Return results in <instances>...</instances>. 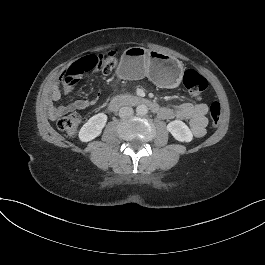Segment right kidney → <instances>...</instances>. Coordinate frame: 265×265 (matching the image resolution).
Segmentation results:
<instances>
[{
  "label": "right kidney",
  "mask_w": 265,
  "mask_h": 265,
  "mask_svg": "<svg viewBox=\"0 0 265 265\" xmlns=\"http://www.w3.org/2000/svg\"><path fill=\"white\" fill-rule=\"evenodd\" d=\"M107 120L108 116L104 113L92 116L78 132L80 142L88 143L96 139L105 128Z\"/></svg>",
  "instance_id": "right-kidney-1"
}]
</instances>
